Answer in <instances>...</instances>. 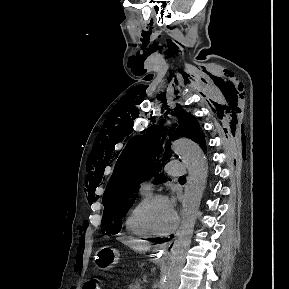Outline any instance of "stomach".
Segmentation results:
<instances>
[{
  "label": "stomach",
  "instance_id": "0dacf381",
  "mask_svg": "<svg viewBox=\"0 0 289 289\" xmlns=\"http://www.w3.org/2000/svg\"><path fill=\"white\" fill-rule=\"evenodd\" d=\"M119 251L109 246H104L96 253V263L102 270H108L119 261Z\"/></svg>",
  "mask_w": 289,
  "mask_h": 289
}]
</instances>
